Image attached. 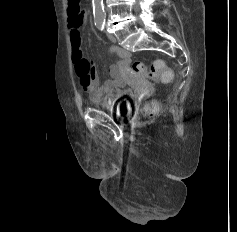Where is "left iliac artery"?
Listing matches in <instances>:
<instances>
[{"label": "left iliac artery", "mask_w": 237, "mask_h": 232, "mask_svg": "<svg viewBox=\"0 0 237 232\" xmlns=\"http://www.w3.org/2000/svg\"><path fill=\"white\" fill-rule=\"evenodd\" d=\"M99 29L103 30L104 29V25L99 26Z\"/></svg>", "instance_id": "left-iliac-artery-1"}]
</instances>
